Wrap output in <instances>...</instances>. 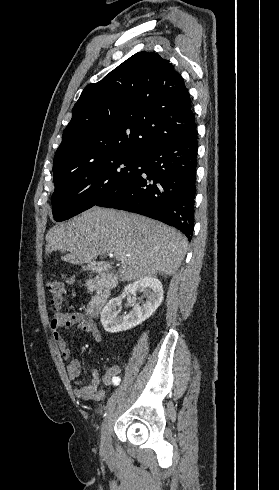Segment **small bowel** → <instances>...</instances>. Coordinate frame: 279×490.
Segmentation results:
<instances>
[{"label": "small bowel", "instance_id": "obj_1", "mask_svg": "<svg viewBox=\"0 0 279 490\" xmlns=\"http://www.w3.org/2000/svg\"><path fill=\"white\" fill-rule=\"evenodd\" d=\"M49 326L52 331V338L57 344L62 357L65 360H69L67 372L70 379L76 380V397L84 400L102 401L106 396V390L98 387L100 382L106 386H113L119 379L121 369L117 363L116 356L108 350H103L114 362L102 377H100L97 369H92L90 383L86 385L87 378L78 379L81 374V364L78 360L71 359L72 351L59 331L61 328L70 329L77 326L80 330L88 333L95 341L99 342L102 336L97 326L80 312H55L51 315Z\"/></svg>", "mask_w": 279, "mask_h": 490}]
</instances>
